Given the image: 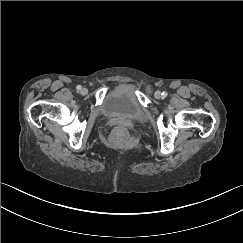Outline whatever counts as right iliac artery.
Returning <instances> with one entry per match:
<instances>
[{
    "label": "right iliac artery",
    "instance_id": "82829eb1",
    "mask_svg": "<svg viewBox=\"0 0 243 243\" xmlns=\"http://www.w3.org/2000/svg\"><path fill=\"white\" fill-rule=\"evenodd\" d=\"M76 89H77V90H81V86L78 85V86L76 87Z\"/></svg>",
    "mask_w": 243,
    "mask_h": 243
}]
</instances>
